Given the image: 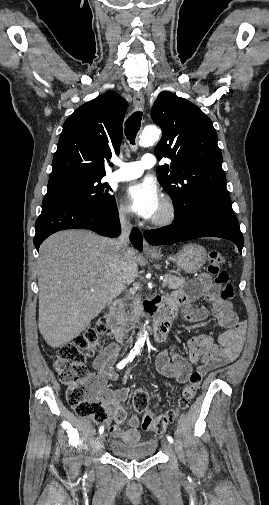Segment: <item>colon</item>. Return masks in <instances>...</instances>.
Listing matches in <instances>:
<instances>
[{
    "label": "colon",
    "mask_w": 269,
    "mask_h": 505,
    "mask_svg": "<svg viewBox=\"0 0 269 505\" xmlns=\"http://www.w3.org/2000/svg\"><path fill=\"white\" fill-rule=\"evenodd\" d=\"M224 257L218 251L209 254L207 271L214 276L215 282L223 286L221 298L229 300L234 296V290L229 283L228 273L223 270ZM106 332L103 323L89 328L71 342L62 345L53 362V368L60 382L66 386V399L79 416L93 417L98 423H108L109 417L100 402L101 381L96 374H90L85 362L101 349V337ZM203 375L194 371L184 387L178 401V408L185 409L195 398L201 385ZM148 394L143 390L135 392L133 407L143 414V429L162 434L173 423L176 411L170 410L164 414L154 415L148 411Z\"/></svg>",
    "instance_id": "obj_1"
}]
</instances>
